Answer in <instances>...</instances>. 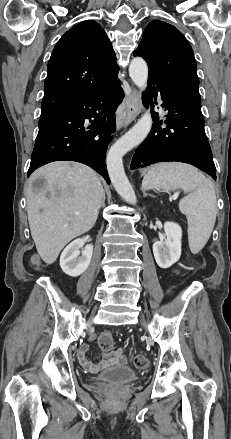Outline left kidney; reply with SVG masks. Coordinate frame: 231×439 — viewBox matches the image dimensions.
<instances>
[{"label":"left kidney","instance_id":"5707ae66","mask_svg":"<svg viewBox=\"0 0 231 439\" xmlns=\"http://www.w3.org/2000/svg\"><path fill=\"white\" fill-rule=\"evenodd\" d=\"M165 240L153 244V254L159 267L166 269L176 263L181 256L182 229L174 222H165Z\"/></svg>","mask_w":231,"mask_h":439}]
</instances>
